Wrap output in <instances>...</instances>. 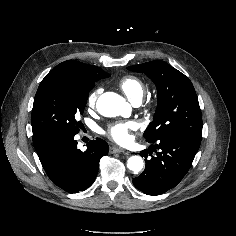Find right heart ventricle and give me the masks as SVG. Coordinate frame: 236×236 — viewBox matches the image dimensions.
I'll return each mask as SVG.
<instances>
[{
    "mask_svg": "<svg viewBox=\"0 0 236 236\" xmlns=\"http://www.w3.org/2000/svg\"><path fill=\"white\" fill-rule=\"evenodd\" d=\"M119 87L132 102H140L146 91L144 81L134 75L124 76L119 81Z\"/></svg>",
    "mask_w": 236,
    "mask_h": 236,
    "instance_id": "right-heart-ventricle-1",
    "label": "right heart ventricle"
}]
</instances>
